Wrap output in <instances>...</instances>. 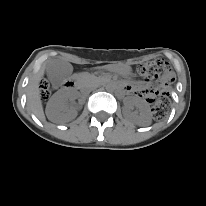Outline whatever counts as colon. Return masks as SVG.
<instances>
[{
    "label": "colon",
    "mask_w": 206,
    "mask_h": 206,
    "mask_svg": "<svg viewBox=\"0 0 206 206\" xmlns=\"http://www.w3.org/2000/svg\"><path fill=\"white\" fill-rule=\"evenodd\" d=\"M138 72L145 78L150 80H157L161 78L165 84L172 81L171 69L168 62L157 59L145 63L140 66ZM41 97L46 99L50 95V86L46 80L40 84ZM169 109V102L166 98L156 100L152 107V114L154 119L161 120L164 118Z\"/></svg>",
    "instance_id": "obj_1"
}]
</instances>
